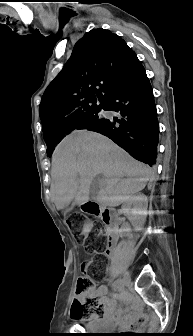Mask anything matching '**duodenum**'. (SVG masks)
Masks as SVG:
<instances>
[{
  "instance_id": "1",
  "label": "duodenum",
  "mask_w": 193,
  "mask_h": 336,
  "mask_svg": "<svg viewBox=\"0 0 193 336\" xmlns=\"http://www.w3.org/2000/svg\"><path fill=\"white\" fill-rule=\"evenodd\" d=\"M83 208L99 216L104 222L107 234L105 253L108 257H112L115 252L117 231L120 225L118 214L111 208L99 209V206L96 203H85Z\"/></svg>"
}]
</instances>
